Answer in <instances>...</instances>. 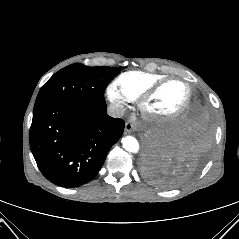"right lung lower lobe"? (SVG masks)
<instances>
[{"label": "right lung lower lobe", "mask_w": 239, "mask_h": 239, "mask_svg": "<svg viewBox=\"0 0 239 239\" xmlns=\"http://www.w3.org/2000/svg\"><path fill=\"white\" fill-rule=\"evenodd\" d=\"M124 121L107 115L106 104L58 101L34 106L30 148L42 174L62 187L91 181Z\"/></svg>", "instance_id": "right-lung-lower-lobe-1"}]
</instances>
